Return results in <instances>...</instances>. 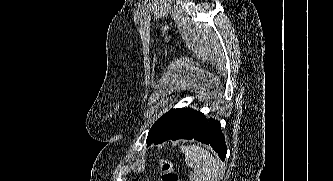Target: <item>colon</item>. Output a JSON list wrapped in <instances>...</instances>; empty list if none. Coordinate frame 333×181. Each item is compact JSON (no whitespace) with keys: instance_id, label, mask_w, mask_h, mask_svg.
Segmentation results:
<instances>
[{"instance_id":"obj_1","label":"colon","mask_w":333,"mask_h":181,"mask_svg":"<svg viewBox=\"0 0 333 181\" xmlns=\"http://www.w3.org/2000/svg\"><path fill=\"white\" fill-rule=\"evenodd\" d=\"M161 181H179L178 175L174 170L173 163L169 159L161 161Z\"/></svg>"}]
</instances>
